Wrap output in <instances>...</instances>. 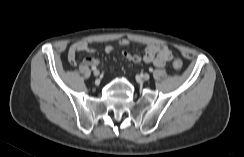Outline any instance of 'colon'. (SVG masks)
I'll return each mask as SVG.
<instances>
[{
  "mask_svg": "<svg viewBox=\"0 0 244 157\" xmlns=\"http://www.w3.org/2000/svg\"><path fill=\"white\" fill-rule=\"evenodd\" d=\"M173 66L175 69L179 70L182 68L183 66V62L179 59V58H176L174 61H173Z\"/></svg>",
  "mask_w": 244,
  "mask_h": 157,
  "instance_id": "5ec220e1",
  "label": "colon"
}]
</instances>
